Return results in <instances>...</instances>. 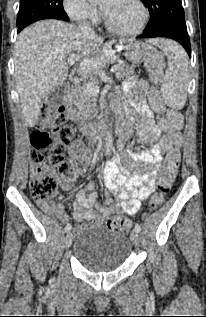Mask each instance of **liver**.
Instances as JSON below:
<instances>
[{"label": "liver", "mask_w": 206, "mask_h": 317, "mask_svg": "<svg viewBox=\"0 0 206 317\" xmlns=\"http://www.w3.org/2000/svg\"><path fill=\"white\" fill-rule=\"evenodd\" d=\"M103 39L87 35L71 24L57 20L36 22L18 35L15 45V82L26 126L33 127L41 114L42 100L68 76L66 57L77 51L85 57L81 72L100 67L104 57L95 58ZM93 65L83 70L82 63Z\"/></svg>", "instance_id": "liver-1"}]
</instances>
